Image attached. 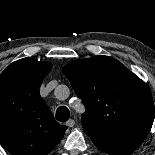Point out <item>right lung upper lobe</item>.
Segmentation results:
<instances>
[{"mask_svg":"<svg viewBox=\"0 0 155 155\" xmlns=\"http://www.w3.org/2000/svg\"><path fill=\"white\" fill-rule=\"evenodd\" d=\"M51 68L28 57L0 75V143L12 155H48L65 134L39 94Z\"/></svg>","mask_w":155,"mask_h":155,"instance_id":"cb5924a9","label":"right lung upper lobe"}]
</instances>
